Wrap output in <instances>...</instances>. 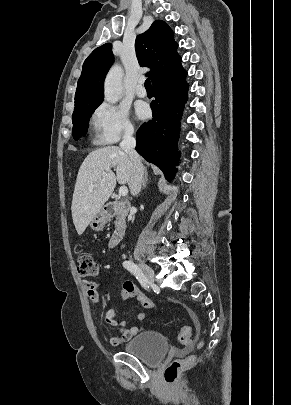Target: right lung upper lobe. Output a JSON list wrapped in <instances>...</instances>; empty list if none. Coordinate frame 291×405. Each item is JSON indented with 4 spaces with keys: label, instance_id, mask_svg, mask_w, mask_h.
<instances>
[{
    "label": "right lung upper lobe",
    "instance_id": "1",
    "mask_svg": "<svg viewBox=\"0 0 291 405\" xmlns=\"http://www.w3.org/2000/svg\"><path fill=\"white\" fill-rule=\"evenodd\" d=\"M111 47L110 43H106L96 48L84 61L73 113L102 103L104 78L114 61ZM177 47L173 31L162 20L154 21L146 32L136 37L138 62L142 67L151 68L147 75L153 85L183 71Z\"/></svg>",
    "mask_w": 291,
    "mask_h": 405
}]
</instances>
